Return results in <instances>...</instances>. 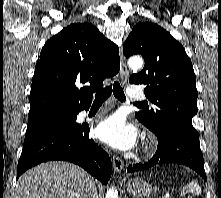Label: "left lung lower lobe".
Listing matches in <instances>:
<instances>
[{
  "label": "left lung lower lobe",
  "mask_w": 221,
  "mask_h": 198,
  "mask_svg": "<svg viewBox=\"0 0 221 198\" xmlns=\"http://www.w3.org/2000/svg\"><path fill=\"white\" fill-rule=\"evenodd\" d=\"M155 134L159 142L153 158L146 163L130 165L127 172L142 171L155 164L176 163L192 168L204 180H207L199 135L175 131Z\"/></svg>",
  "instance_id": "0a47b994"
}]
</instances>
